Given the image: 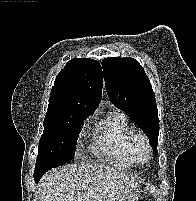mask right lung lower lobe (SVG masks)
I'll return each mask as SVG.
<instances>
[{
    "instance_id": "1",
    "label": "right lung lower lobe",
    "mask_w": 196,
    "mask_h": 201,
    "mask_svg": "<svg viewBox=\"0 0 196 201\" xmlns=\"http://www.w3.org/2000/svg\"><path fill=\"white\" fill-rule=\"evenodd\" d=\"M41 177H42V176H39V175L36 176V175H34V180H35V182L37 183Z\"/></svg>"
}]
</instances>
